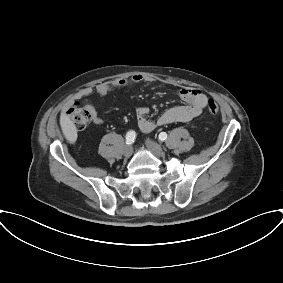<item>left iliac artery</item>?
I'll list each match as a JSON object with an SVG mask.
<instances>
[{
  "mask_svg": "<svg viewBox=\"0 0 283 283\" xmlns=\"http://www.w3.org/2000/svg\"><path fill=\"white\" fill-rule=\"evenodd\" d=\"M167 139V134L165 132H161L159 134V140L165 141Z\"/></svg>",
  "mask_w": 283,
  "mask_h": 283,
  "instance_id": "1",
  "label": "left iliac artery"
}]
</instances>
